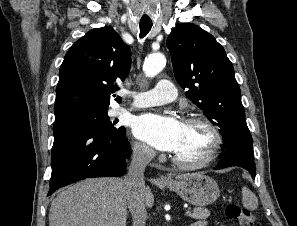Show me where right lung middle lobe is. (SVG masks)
<instances>
[{"mask_svg": "<svg viewBox=\"0 0 297 226\" xmlns=\"http://www.w3.org/2000/svg\"><path fill=\"white\" fill-rule=\"evenodd\" d=\"M60 121H73L88 125L98 131L108 134H123L125 133L124 127H115L116 121L111 122L107 115V110L96 111L89 110L83 111L71 116H68Z\"/></svg>", "mask_w": 297, "mask_h": 226, "instance_id": "1", "label": "right lung middle lobe"}]
</instances>
